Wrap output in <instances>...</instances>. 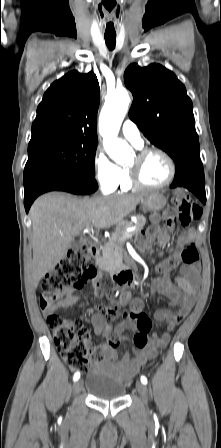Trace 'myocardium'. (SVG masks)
Returning <instances> with one entry per match:
<instances>
[{
	"mask_svg": "<svg viewBox=\"0 0 221 448\" xmlns=\"http://www.w3.org/2000/svg\"><path fill=\"white\" fill-rule=\"evenodd\" d=\"M153 153L160 154L166 160V162L168 163L169 168H170L169 178L164 183L159 184V185H152V184L146 183L140 174V163L147 156H149L150 154H153ZM136 157L138 159V164L135 166L128 167L129 179L134 187L148 188V189H162V188L169 186L174 181L176 174H177L176 163H175L174 159L163 149L157 148V147L144 148V149H141L137 153Z\"/></svg>",
	"mask_w": 221,
	"mask_h": 448,
	"instance_id": "1",
	"label": "myocardium"
}]
</instances>
